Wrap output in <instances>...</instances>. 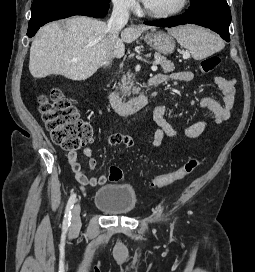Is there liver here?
<instances>
[{"label":"liver","instance_id":"1","mask_svg":"<svg viewBox=\"0 0 255 272\" xmlns=\"http://www.w3.org/2000/svg\"><path fill=\"white\" fill-rule=\"evenodd\" d=\"M51 22L37 32L31 48L29 71L34 78L62 75L81 81L91 77L113 58L125 53L124 43L135 41L151 26H130L121 32L113 45L104 21L85 16H74L64 21Z\"/></svg>","mask_w":255,"mask_h":272}]
</instances>
